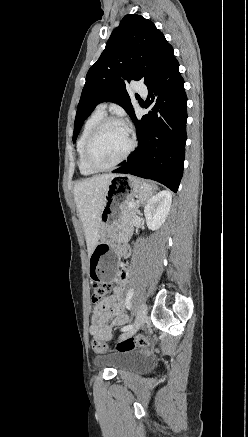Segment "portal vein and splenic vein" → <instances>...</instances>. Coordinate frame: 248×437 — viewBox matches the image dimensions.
<instances>
[{
    "label": "portal vein and splenic vein",
    "instance_id": "portal-vein-and-splenic-vein-1",
    "mask_svg": "<svg viewBox=\"0 0 248 437\" xmlns=\"http://www.w3.org/2000/svg\"><path fill=\"white\" fill-rule=\"evenodd\" d=\"M135 205V203L134 202H131V203H129V206H134Z\"/></svg>",
    "mask_w": 248,
    "mask_h": 437
}]
</instances>
